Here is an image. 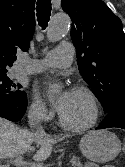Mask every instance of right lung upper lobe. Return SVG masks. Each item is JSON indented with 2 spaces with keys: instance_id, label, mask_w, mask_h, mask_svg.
<instances>
[{
  "instance_id": "cb5924a9",
  "label": "right lung upper lobe",
  "mask_w": 125,
  "mask_h": 167,
  "mask_svg": "<svg viewBox=\"0 0 125 167\" xmlns=\"http://www.w3.org/2000/svg\"><path fill=\"white\" fill-rule=\"evenodd\" d=\"M35 0H0V73L18 50L27 51L35 30Z\"/></svg>"
}]
</instances>
